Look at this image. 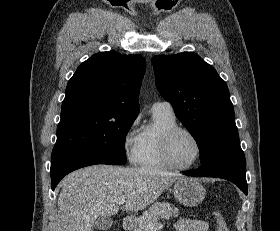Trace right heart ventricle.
Here are the masks:
<instances>
[{
  "mask_svg": "<svg viewBox=\"0 0 280 231\" xmlns=\"http://www.w3.org/2000/svg\"><path fill=\"white\" fill-rule=\"evenodd\" d=\"M152 113L154 122L144 127L141 133L142 146L138 164L148 169H170L161 155L160 138L165 130L178 126V122L174 114Z\"/></svg>",
  "mask_w": 280,
  "mask_h": 231,
  "instance_id": "e07e8e85",
  "label": "right heart ventricle"
}]
</instances>
